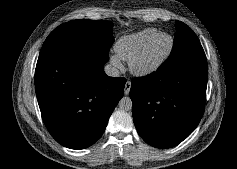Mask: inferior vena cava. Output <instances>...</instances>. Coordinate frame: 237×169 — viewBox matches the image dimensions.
I'll use <instances>...</instances> for the list:
<instances>
[{
	"mask_svg": "<svg viewBox=\"0 0 237 169\" xmlns=\"http://www.w3.org/2000/svg\"><path fill=\"white\" fill-rule=\"evenodd\" d=\"M104 71H105L106 75H108L110 77H119V75H120V71L116 67H114L113 65H110V64H108L104 67Z\"/></svg>",
	"mask_w": 237,
	"mask_h": 169,
	"instance_id": "1",
	"label": "inferior vena cava"
}]
</instances>
